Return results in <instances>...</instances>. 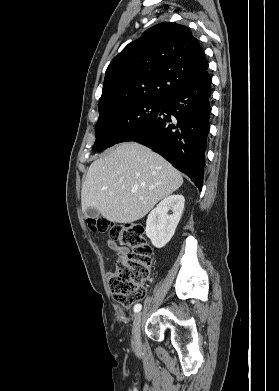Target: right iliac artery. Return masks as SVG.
I'll return each instance as SVG.
<instances>
[{"instance_id":"1","label":"right iliac artery","mask_w":279,"mask_h":391,"mask_svg":"<svg viewBox=\"0 0 279 391\" xmlns=\"http://www.w3.org/2000/svg\"><path fill=\"white\" fill-rule=\"evenodd\" d=\"M141 308H142V305H141V304H136V305L134 306V312H135V313L139 312V311L141 310Z\"/></svg>"}]
</instances>
